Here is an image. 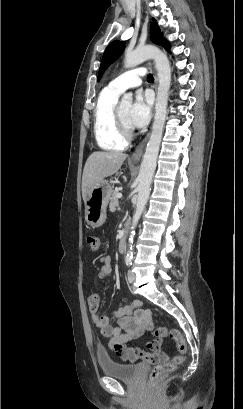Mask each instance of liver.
Segmentation results:
<instances>
[{"instance_id":"6515ba94","label":"liver","mask_w":243,"mask_h":409,"mask_svg":"<svg viewBox=\"0 0 243 409\" xmlns=\"http://www.w3.org/2000/svg\"><path fill=\"white\" fill-rule=\"evenodd\" d=\"M127 158L121 152H93L87 159L82 176V196L85 201L91 189L104 178L115 174Z\"/></svg>"}]
</instances>
